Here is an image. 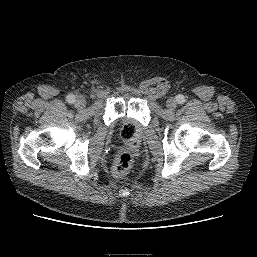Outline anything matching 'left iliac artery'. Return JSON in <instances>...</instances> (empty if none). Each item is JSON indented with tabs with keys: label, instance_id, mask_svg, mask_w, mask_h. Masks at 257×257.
Masks as SVG:
<instances>
[{
	"label": "left iliac artery",
	"instance_id": "1",
	"mask_svg": "<svg viewBox=\"0 0 257 257\" xmlns=\"http://www.w3.org/2000/svg\"><path fill=\"white\" fill-rule=\"evenodd\" d=\"M176 101L179 103V104H183L185 102V96L182 95V94H179L176 96Z\"/></svg>",
	"mask_w": 257,
	"mask_h": 257
}]
</instances>
